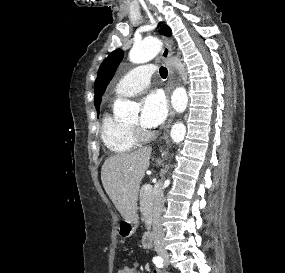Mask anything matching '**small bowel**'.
<instances>
[{"instance_id":"c3829d8e","label":"small bowel","mask_w":285,"mask_h":273,"mask_svg":"<svg viewBox=\"0 0 285 273\" xmlns=\"http://www.w3.org/2000/svg\"><path fill=\"white\" fill-rule=\"evenodd\" d=\"M132 273H135V271L133 270ZM137 273H141L140 271H138ZM152 273H162L160 270H154Z\"/></svg>"}]
</instances>
